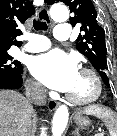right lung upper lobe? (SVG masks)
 I'll use <instances>...</instances> for the list:
<instances>
[{
  "instance_id": "cb5924a9",
  "label": "right lung upper lobe",
  "mask_w": 117,
  "mask_h": 136,
  "mask_svg": "<svg viewBox=\"0 0 117 136\" xmlns=\"http://www.w3.org/2000/svg\"><path fill=\"white\" fill-rule=\"evenodd\" d=\"M35 9L29 0H0V54L8 53L14 40L22 34L19 26L34 15Z\"/></svg>"
}]
</instances>
